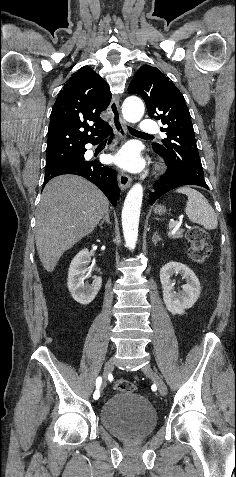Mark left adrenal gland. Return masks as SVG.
<instances>
[{
  "label": "left adrenal gland",
  "mask_w": 236,
  "mask_h": 477,
  "mask_svg": "<svg viewBox=\"0 0 236 477\" xmlns=\"http://www.w3.org/2000/svg\"><path fill=\"white\" fill-rule=\"evenodd\" d=\"M158 241H161V238L158 236L157 232H154L152 242H153L154 245H156Z\"/></svg>",
  "instance_id": "a2214340"
}]
</instances>
